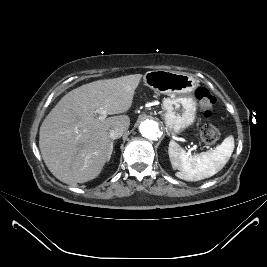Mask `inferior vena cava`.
<instances>
[{"label":"inferior vena cava","mask_w":267,"mask_h":267,"mask_svg":"<svg viewBox=\"0 0 267 267\" xmlns=\"http://www.w3.org/2000/svg\"><path fill=\"white\" fill-rule=\"evenodd\" d=\"M124 132V128L123 127H114L112 129L109 130V137L111 139H117L120 138L122 136Z\"/></svg>","instance_id":"602c4592"}]
</instances>
